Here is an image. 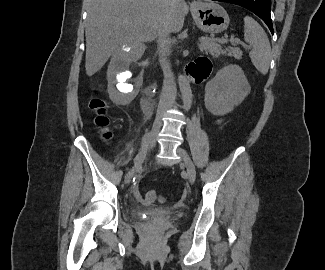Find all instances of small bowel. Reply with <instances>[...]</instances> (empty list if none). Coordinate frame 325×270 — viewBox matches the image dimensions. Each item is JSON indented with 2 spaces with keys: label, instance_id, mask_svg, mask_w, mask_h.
<instances>
[{
  "label": "small bowel",
  "instance_id": "1",
  "mask_svg": "<svg viewBox=\"0 0 325 270\" xmlns=\"http://www.w3.org/2000/svg\"><path fill=\"white\" fill-rule=\"evenodd\" d=\"M212 70L211 61L204 56L197 57L187 66V73L195 82L202 81L207 78ZM134 195L137 200H142L137 189L134 190Z\"/></svg>",
  "mask_w": 325,
  "mask_h": 270
}]
</instances>
